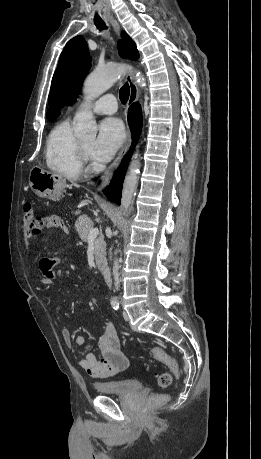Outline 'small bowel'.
<instances>
[{"instance_id": "c3829d8e", "label": "small bowel", "mask_w": 261, "mask_h": 459, "mask_svg": "<svg viewBox=\"0 0 261 459\" xmlns=\"http://www.w3.org/2000/svg\"><path fill=\"white\" fill-rule=\"evenodd\" d=\"M44 228L67 229L63 219L57 215L47 218L42 230ZM40 232L34 233L33 239L31 240L32 242L37 238V235ZM56 262L57 258H44L39 263V269L42 274L40 282L47 288L54 285L56 275L53 272V266ZM62 337L66 345L72 347L73 338L67 327L62 328ZM75 343L79 347H85L86 338L84 336H77ZM99 348L101 352V357L99 359H97L93 353L86 352L78 362L79 366L90 376L94 378H106L116 375L128 368L129 360L122 351L118 332L112 322H106L104 324L103 335L100 338Z\"/></svg>"}]
</instances>
